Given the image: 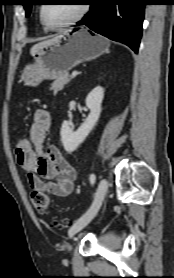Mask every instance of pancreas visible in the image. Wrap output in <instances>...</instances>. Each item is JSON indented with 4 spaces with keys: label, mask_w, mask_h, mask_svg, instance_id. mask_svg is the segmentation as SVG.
<instances>
[{
    "label": "pancreas",
    "mask_w": 174,
    "mask_h": 278,
    "mask_svg": "<svg viewBox=\"0 0 174 278\" xmlns=\"http://www.w3.org/2000/svg\"><path fill=\"white\" fill-rule=\"evenodd\" d=\"M72 78L69 76L68 73H65L61 76H59L58 78H56L54 80V82L51 84V89L54 91V92H58L60 90L63 89L64 85H66L67 83H69V81L71 80Z\"/></svg>",
    "instance_id": "1"
}]
</instances>
